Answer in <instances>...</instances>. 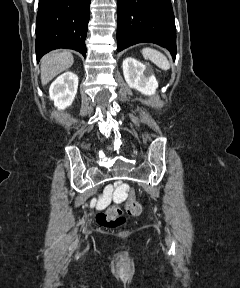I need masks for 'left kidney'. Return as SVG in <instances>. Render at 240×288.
Returning a JSON list of instances; mask_svg holds the SVG:
<instances>
[{"label":"left kidney","instance_id":"5707ae66","mask_svg":"<svg viewBox=\"0 0 240 288\" xmlns=\"http://www.w3.org/2000/svg\"><path fill=\"white\" fill-rule=\"evenodd\" d=\"M123 74L130 88L136 89L144 95H153L158 88V82L152 70L132 57L123 61Z\"/></svg>","mask_w":240,"mask_h":288}]
</instances>
